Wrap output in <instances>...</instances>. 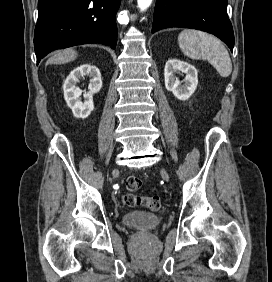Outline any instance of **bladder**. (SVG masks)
Wrapping results in <instances>:
<instances>
[{"mask_svg":"<svg viewBox=\"0 0 272 282\" xmlns=\"http://www.w3.org/2000/svg\"><path fill=\"white\" fill-rule=\"evenodd\" d=\"M122 221L125 225L140 231H148L161 223V217L148 212L133 211L123 215Z\"/></svg>","mask_w":272,"mask_h":282,"instance_id":"31cf9c89","label":"bladder"}]
</instances>
